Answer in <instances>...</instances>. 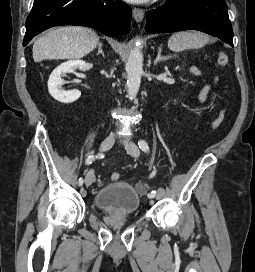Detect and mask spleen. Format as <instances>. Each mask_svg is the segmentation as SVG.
I'll return each instance as SVG.
<instances>
[{
  "mask_svg": "<svg viewBox=\"0 0 255 272\" xmlns=\"http://www.w3.org/2000/svg\"><path fill=\"white\" fill-rule=\"evenodd\" d=\"M207 42L208 37L205 34L196 31H185L173 34L168 41V47L179 52L186 49H199L206 45Z\"/></svg>",
  "mask_w": 255,
  "mask_h": 272,
  "instance_id": "3e777b00",
  "label": "spleen"
}]
</instances>
